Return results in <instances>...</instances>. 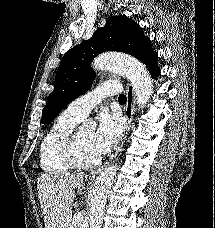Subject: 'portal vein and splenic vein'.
I'll list each match as a JSON object with an SVG mask.
<instances>
[{
	"label": "portal vein and splenic vein",
	"mask_w": 215,
	"mask_h": 228,
	"mask_svg": "<svg viewBox=\"0 0 215 228\" xmlns=\"http://www.w3.org/2000/svg\"><path fill=\"white\" fill-rule=\"evenodd\" d=\"M74 220H75V222H82V220H83L82 214H75Z\"/></svg>",
	"instance_id": "portal-vein-and-splenic-vein-1"
}]
</instances>
